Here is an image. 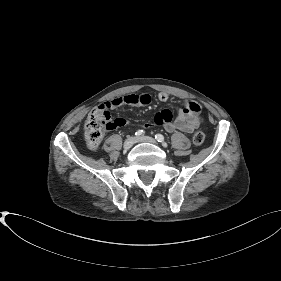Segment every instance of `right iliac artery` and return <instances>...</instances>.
<instances>
[{"label":"right iliac artery","mask_w":281,"mask_h":281,"mask_svg":"<svg viewBox=\"0 0 281 281\" xmlns=\"http://www.w3.org/2000/svg\"><path fill=\"white\" fill-rule=\"evenodd\" d=\"M144 134V131L143 130H138L136 133H135V135L137 136V137H140V136H142Z\"/></svg>","instance_id":"1"}]
</instances>
